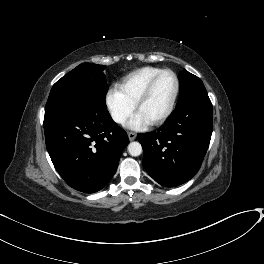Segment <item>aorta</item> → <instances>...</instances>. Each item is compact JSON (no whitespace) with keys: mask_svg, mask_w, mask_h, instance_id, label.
Returning <instances> with one entry per match:
<instances>
[{"mask_svg":"<svg viewBox=\"0 0 264 264\" xmlns=\"http://www.w3.org/2000/svg\"><path fill=\"white\" fill-rule=\"evenodd\" d=\"M128 152L131 156H139L142 153V146L139 142H131L128 145Z\"/></svg>","mask_w":264,"mask_h":264,"instance_id":"aorta-1","label":"aorta"}]
</instances>
